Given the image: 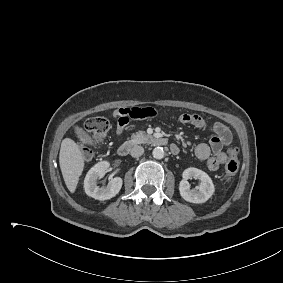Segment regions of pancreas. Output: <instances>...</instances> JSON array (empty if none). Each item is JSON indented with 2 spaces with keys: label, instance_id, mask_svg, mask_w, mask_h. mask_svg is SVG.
Masks as SVG:
<instances>
[{
  "label": "pancreas",
  "instance_id": "1",
  "mask_svg": "<svg viewBox=\"0 0 283 283\" xmlns=\"http://www.w3.org/2000/svg\"><path fill=\"white\" fill-rule=\"evenodd\" d=\"M149 138L150 136L147 135L145 132L139 131L131 135V140L129 142L132 144H142L147 143Z\"/></svg>",
  "mask_w": 283,
  "mask_h": 283
}]
</instances>
